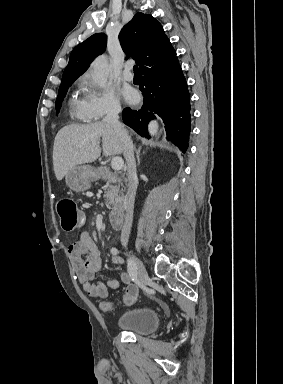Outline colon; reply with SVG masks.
Instances as JSON below:
<instances>
[{
	"label": "colon",
	"instance_id": "1",
	"mask_svg": "<svg viewBox=\"0 0 283 384\" xmlns=\"http://www.w3.org/2000/svg\"><path fill=\"white\" fill-rule=\"evenodd\" d=\"M57 212L64 231L71 232L83 224V213L72 199H62L57 205ZM137 294V288L129 286L123 295V303L132 305L136 301ZM100 308L103 312L109 313L113 311L114 305L112 302L104 301L100 303Z\"/></svg>",
	"mask_w": 283,
	"mask_h": 384
}]
</instances>
